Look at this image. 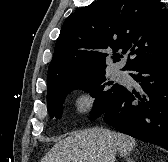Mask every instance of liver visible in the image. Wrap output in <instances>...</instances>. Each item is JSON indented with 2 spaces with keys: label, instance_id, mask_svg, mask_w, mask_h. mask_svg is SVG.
I'll list each match as a JSON object with an SVG mask.
<instances>
[{
  "label": "liver",
  "instance_id": "liver-1",
  "mask_svg": "<svg viewBox=\"0 0 168 162\" xmlns=\"http://www.w3.org/2000/svg\"><path fill=\"white\" fill-rule=\"evenodd\" d=\"M136 140L103 128H91L57 142L40 162H115L129 155Z\"/></svg>",
  "mask_w": 168,
  "mask_h": 162
}]
</instances>
